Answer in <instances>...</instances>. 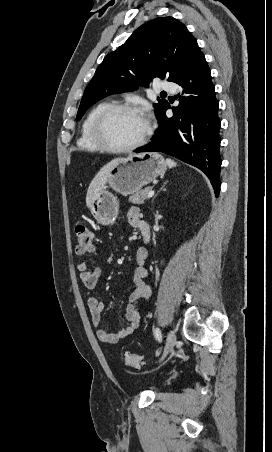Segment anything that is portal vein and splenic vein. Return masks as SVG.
I'll use <instances>...</instances> for the list:
<instances>
[{"label":"portal vein and splenic vein","instance_id":"18ae733b","mask_svg":"<svg viewBox=\"0 0 272 452\" xmlns=\"http://www.w3.org/2000/svg\"><path fill=\"white\" fill-rule=\"evenodd\" d=\"M153 196H154V191L151 190V191L148 193L147 197H148V198H151V197H153Z\"/></svg>","mask_w":272,"mask_h":452}]
</instances>
